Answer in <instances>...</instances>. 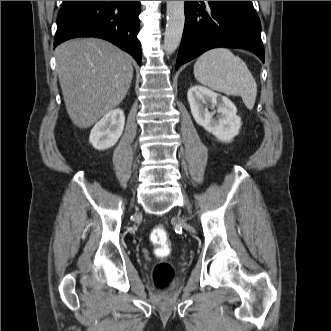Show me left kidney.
I'll use <instances>...</instances> for the list:
<instances>
[{
  "mask_svg": "<svg viewBox=\"0 0 331 331\" xmlns=\"http://www.w3.org/2000/svg\"><path fill=\"white\" fill-rule=\"evenodd\" d=\"M187 98L196 123L218 140L230 142L238 135L241 119L237 116L236 106L227 97L195 85L188 90ZM209 106L217 107V118L213 117L216 111L210 112Z\"/></svg>",
  "mask_w": 331,
  "mask_h": 331,
  "instance_id": "obj_1",
  "label": "left kidney"
}]
</instances>
